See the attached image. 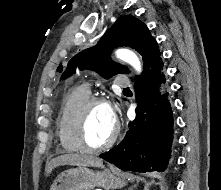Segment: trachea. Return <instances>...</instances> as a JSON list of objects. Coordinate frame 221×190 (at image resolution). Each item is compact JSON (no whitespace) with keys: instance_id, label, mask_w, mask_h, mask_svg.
Instances as JSON below:
<instances>
[{"instance_id":"obj_1","label":"trachea","mask_w":221,"mask_h":190,"mask_svg":"<svg viewBox=\"0 0 221 190\" xmlns=\"http://www.w3.org/2000/svg\"><path fill=\"white\" fill-rule=\"evenodd\" d=\"M129 90H130L129 88H124V89H123V91H129Z\"/></svg>"}]
</instances>
